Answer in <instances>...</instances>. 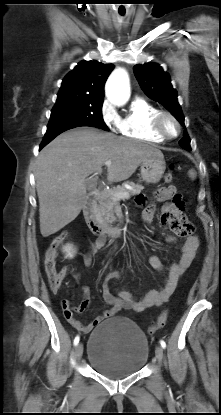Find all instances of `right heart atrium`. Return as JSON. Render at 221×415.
Here are the masks:
<instances>
[{
	"label": "right heart atrium",
	"mask_w": 221,
	"mask_h": 415,
	"mask_svg": "<svg viewBox=\"0 0 221 415\" xmlns=\"http://www.w3.org/2000/svg\"><path fill=\"white\" fill-rule=\"evenodd\" d=\"M100 114L102 122L108 129L112 131L118 129L119 115L109 102L103 103Z\"/></svg>",
	"instance_id": "right-heart-atrium-1"
}]
</instances>
